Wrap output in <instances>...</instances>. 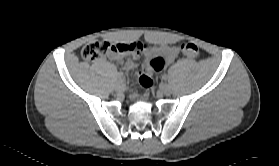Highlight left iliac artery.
I'll return each instance as SVG.
<instances>
[{"instance_id": "obj_1", "label": "left iliac artery", "mask_w": 279, "mask_h": 166, "mask_svg": "<svg viewBox=\"0 0 279 166\" xmlns=\"http://www.w3.org/2000/svg\"><path fill=\"white\" fill-rule=\"evenodd\" d=\"M162 79L166 81V80H168V76L165 74L162 76Z\"/></svg>"}]
</instances>
